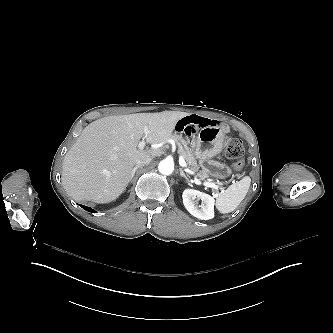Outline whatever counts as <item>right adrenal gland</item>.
<instances>
[{
    "label": "right adrenal gland",
    "mask_w": 333,
    "mask_h": 333,
    "mask_svg": "<svg viewBox=\"0 0 333 333\" xmlns=\"http://www.w3.org/2000/svg\"><path fill=\"white\" fill-rule=\"evenodd\" d=\"M140 167H141V166H136V167H134V169H133V171H132V175H131V177H130V179H129V182L132 180L133 176L135 175L136 170H137L138 168H140Z\"/></svg>",
    "instance_id": "2a0ac1e0"
}]
</instances>
